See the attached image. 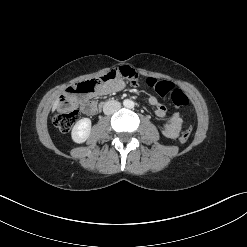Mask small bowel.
Listing matches in <instances>:
<instances>
[{"mask_svg":"<svg viewBox=\"0 0 247 247\" xmlns=\"http://www.w3.org/2000/svg\"><path fill=\"white\" fill-rule=\"evenodd\" d=\"M118 70H126L135 74V72L129 67H122ZM124 76H118L115 79L108 81L101 85L97 90L96 93L99 95H107L111 93H115L124 89L126 83ZM149 103L154 107L155 114L158 117H165L167 115V107L161 103L156 97L151 96L149 97ZM81 109L83 113L87 115H93L97 111V106L93 101L86 100L81 104ZM182 127V118L179 113H173L163 127V134L171 139L177 138L180 130Z\"/></svg>","mask_w":247,"mask_h":247,"instance_id":"obj_1","label":"small bowel"}]
</instances>
